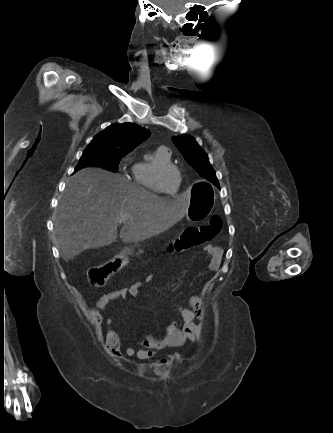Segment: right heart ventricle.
<instances>
[{
	"label": "right heart ventricle",
	"mask_w": 333,
	"mask_h": 433,
	"mask_svg": "<svg viewBox=\"0 0 333 433\" xmlns=\"http://www.w3.org/2000/svg\"><path fill=\"white\" fill-rule=\"evenodd\" d=\"M171 155L169 152L158 148L154 153V158L150 162H139L136 164L134 171V180L139 186L155 193L162 194L163 192L159 188L155 180L156 169L160 165L170 164ZM180 186V184H179Z\"/></svg>",
	"instance_id": "obj_1"
}]
</instances>
